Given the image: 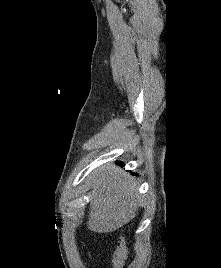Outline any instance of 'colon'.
Masks as SVG:
<instances>
[{
  "label": "colon",
  "instance_id": "obj_1",
  "mask_svg": "<svg viewBox=\"0 0 221 268\" xmlns=\"http://www.w3.org/2000/svg\"><path fill=\"white\" fill-rule=\"evenodd\" d=\"M126 255H127L126 245H125L124 241H121L114 252L113 265L116 268L121 267L124 264V261L126 259Z\"/></svg>",
  "mask_w": 221,
  "mask_h": 268
}]
</instances>
